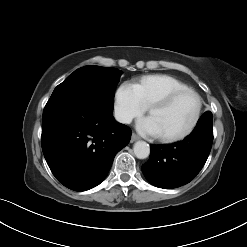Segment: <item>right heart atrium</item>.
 <instances>
[{
  "label": "right heart atrium",
  "instance_id": "right-heart-atrium-1",
  "mask_svg": "<svg viewBox=\"0 0 247 247\" xmlns=\"http://www.w3.org/2000/svg\"><path fill=\"white\" fill-rule=\"evenodd\" d=\"M144 111L145 107L136 86L129 82L122 83L114 97V112L117 119L122 123H129L141 116Z\"/></svg>",
  "mask_w": 247,
  "mask_h": 247
}]
</instances>
